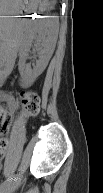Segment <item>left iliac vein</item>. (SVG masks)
I'll use <instances>...</instances> for the list:
<instances>
[{"label":"left iliac vein","instance_id":"4c4485c4","mask_svg":"<svg viewBox=\"0 0 103 193\" xmlns=\"http://www.w3.org/2000/svg\"><path fill=\"white\" fill-rule=\"evenodd\" d=\"M20 183V180L18 182H16L15 184H13V186L11 188H16Z\"/></svg>","mask_w":103,"mask_h":193}]
</instances>
